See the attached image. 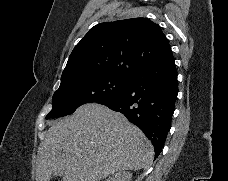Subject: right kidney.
<instances>
[{
	"instance_id": "right-kidney-1",
	"label": "right kidney",
	"mask_w": 228,
	"mask_h": 181,
	"mask_svg": "<svg viewBox=\"0 0 228 181\" xmlns=\"http://www.w3.org/2000/svg\"><path fill=\"white\" fill-rule=\"evenodd\" d=\"M106 181H132V173H128V171H119L113 177H109Z\"/></svg>"
}]
</instances>
